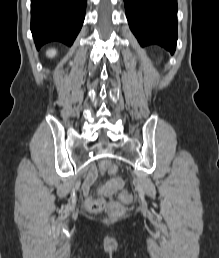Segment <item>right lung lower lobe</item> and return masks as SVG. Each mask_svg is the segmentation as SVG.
Wrapping results in <instances>:
<instances>
[{"instance_id": "98d812e1", "label": "right lung lower lobe", "mask_w": 219, "mask_h": 258, "mask_svg": "<svg viewBox=\"0 0 219 258\" xmlns=\"http://www.w3.org/2000/svg\"><path fill=\"white\" fill-rule=\"evenodd\" d=\"M87 0H31V31L36 48L49 42L71 46L79 33Z\"/></svg>"}]
</instances>
